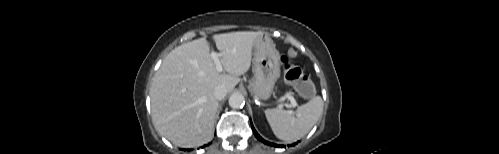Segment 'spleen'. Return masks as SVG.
<instances>
[{"instance_id":"1","label":"spleen","mask_w":499,"mask_h":154,"mask_svg":"<svg viewBox=\"0 0 499 154\" xmlns=\"http://www.w3.org/2000/svg\"><path fill=\"white\" fill-rule=\"evenodd\" d=\"M323 112V100L315 96L298 107L294 113L282 109H266V119L277 138L287 143L304 137L316 124Z\"/></svg>"}]
</instances>
